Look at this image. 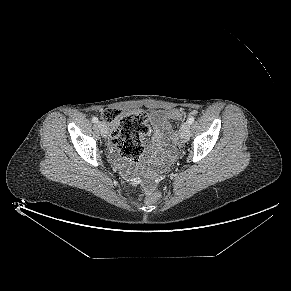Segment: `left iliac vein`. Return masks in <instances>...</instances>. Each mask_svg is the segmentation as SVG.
Instances as JSON below:
<instances>
[{
  "label": "left iliac vein",
  "mask_w": 291,
  "mask_h": 291,
  "mask_svg": "<svg viewBox=\"0 0 291 291\" xmlns=\"http://www.w3.org/2000/svg\"><path fill=\"white\" fill-rule=\"evenodd\" d=\"M180 138L182 141L186 142L190 137V124L188 122H184L181 124L179 130Z\"/></svg>",
  "instance_id": "1"
}]
</instances>
